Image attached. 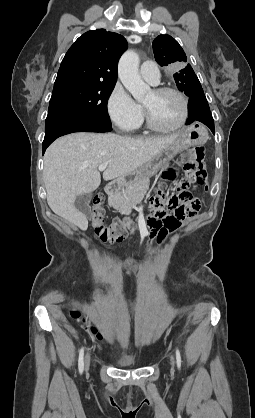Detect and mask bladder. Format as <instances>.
<instances>
[{"mask_svg": "<svg viewBox=\"0 0 255 418\" xmlns=\"http://www.w3.org/2000/svg\"><path fill=\"white\" fill-rule=\"evenodd\" d=\"M115 362L120 367H131L138 363V360L133 356H119L115 358Z\"/></svg>", "mask_w": 255, "mask_h": 418, "instance_id": "1", "label": "bladder"}]
</instances>
